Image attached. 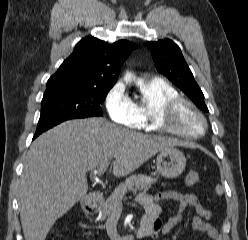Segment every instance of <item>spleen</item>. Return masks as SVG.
Instances as JSON below:
<instances>
[{
	"label": "spleen",
	"instance_id": "1",
	"mask_svg": "<svg viewBox=\"0 0 248 240\" xmlns=\"http://www.w3.org/2000/svg\"><path fill=\"white\" fill-rule=\"evenodd\" d=\"M216 192H217L218 194H222V189H221L220 186H217V187H216Z\"/></svg>",
	"mask_w": 248,
	"mask_h": 240
}]
</instances>
